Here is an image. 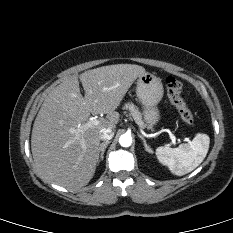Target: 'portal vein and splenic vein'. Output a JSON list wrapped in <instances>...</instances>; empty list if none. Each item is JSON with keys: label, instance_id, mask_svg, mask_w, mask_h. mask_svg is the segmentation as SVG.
<instances>
[{"label": "portal vein and splenic vein", "instance_id": "18ae733b", "mask_svg": "<svg viewBox=\"0 0 233 233\" xmlns=\"http://www.w3.org/2000/svg\"><path fill=\"white\" fill-rule=\"evenodd\" d=\"M99 122L100 121L98 119L91 118L85 124L78 126V128L76 129V131H77V133L83 132L84 130H86V129L92 127V126L99 124ZM169 136H170V139L172 141V144L175 145L176 141H177L176 137L172 133H169Z\"/></svg>", "mask_w": 233, "mask_h": 233}]
</instances>
